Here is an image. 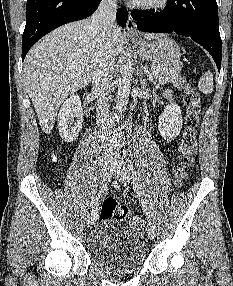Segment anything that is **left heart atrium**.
Returning <instances> with one entry per match:
<instances>
[{
  "mask_svg": "<svg viewBox=\"0 0 233 286\" xmlns=\"http://www.w3.org/2000/svg\"><path fill=\"white\" fill-rule=\"evenodd\" d=\"M130 2H132V3H138V2H140L141 0H129Z\"/></svg>",
  "mask_w": 233,
  "mask_h": 286,
  "instance_id": "1",
  "label": "left heart atrium"
}]
</instances>
